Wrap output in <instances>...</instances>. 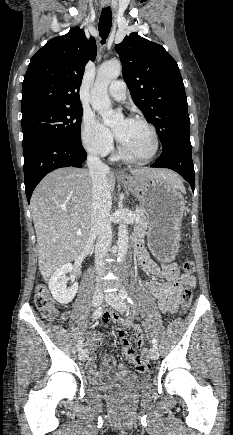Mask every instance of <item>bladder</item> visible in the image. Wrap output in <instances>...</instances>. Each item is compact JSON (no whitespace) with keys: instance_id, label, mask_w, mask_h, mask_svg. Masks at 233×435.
<instances>
[{"instance_id":"obj_1","label":"bladder","mask_w":233,"mask_h":435,"mask_svg":"<svg viewBox=\"0 0 233 435\" xmlns=\"http://www.w3.org/2000/svg\"><path fill=\"white\" fill-rule=\"evenodd\" d=\"M150 374L144 375L141 379L133 382V383H127V382H108L101 384L97 386L96 388L103 392H111L118 390L120 388H127V389H146L148 388V380L150 379Z\"/></svg>"}]
</instances>
